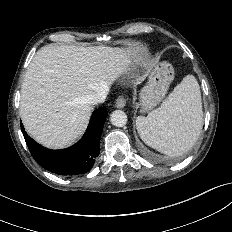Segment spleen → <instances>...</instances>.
I'll use <instances>...</instances> for the list:
<instances>
[{
	"label": "spleen",
	"mask_w": 232,
	"mask_h": 232,
	"mask_svg": "<svg viewBox=\"0 0 232 232\" xmlns=\"http://www.w3.org/2000/svg\"><path fill=\"white\" fill-rule=\"evenodd\" d=\"M202 117L199 84L193 75H187L160 108L147 117L138 116L136 126L145 144L168 156H178L197 141Z\"/></svg>",
	"instance_id": "spleen-1"
}]
</instances>
